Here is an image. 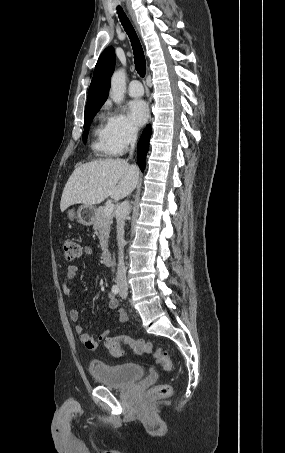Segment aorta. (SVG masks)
<instances>
[{"instance_id":"obj_1","label":"aorta","mask_w":285,"mask_h":453,"mask_svg":"<svg viewBox=\"0 0 285 453\" xmlns=\"http://www.w3.org/2000/svg\"><path fill=\"white\" fill-rule=\"evenodd\" d=\"M126 91V72L119 69L114 72L111 78L110 97L116 104H121Z\"/></svg>"}]
</instances>
